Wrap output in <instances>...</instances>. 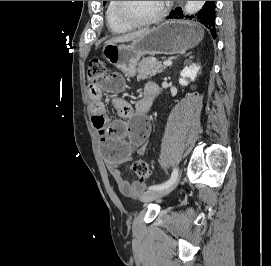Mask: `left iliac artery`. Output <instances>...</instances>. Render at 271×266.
Instances as JSON below:
<instances>
[{
	"mask_svg": "<svg viewBox=\"0 0 271 266\" xmlns=\"http://www.w3.org/2000/svg\"><path fill=\"white\" fill-rule=\"evenodd\" d=\"M177 177H178V171L176 169H174L171 174V177L168 181L161 183V184L149 186L148 189L149 190H157V189L166 188V187L172 185L176 181Z\"/></svg>",
	"mask_w": 271,
	"mask_h": 266,
	"instance_id": "left-iliac-artery-1",
	"label": "left iliac artery"
}]
</instances>
